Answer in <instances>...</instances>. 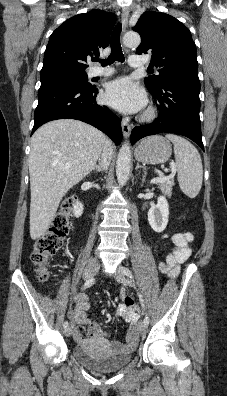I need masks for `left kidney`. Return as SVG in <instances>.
<instances>
[{"instance_id": "left-kidney-1", "label": "left kidney", "mask_w": 227, "mask_h": 396, "mask_svg": "<svg viewBox=\"0 0 227 396\" xmlns=\"http://www.w3.org/2000/svg\"><path fill=\"white\" fill-rule=\"evenodd\" d=\"M169 218V205L164 196L158 197L157 205L148 211V222L151 228L160 233L165 230Z\"/></svg>"}]
</instances>
